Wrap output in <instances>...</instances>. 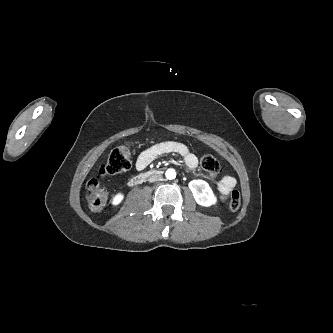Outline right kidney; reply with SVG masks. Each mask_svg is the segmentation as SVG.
<instances>
[{"mask_svg":"<svg viewBox=\"0 0 333 333\" xmlns=\"http://www.w3.org/2000/svg\"><path fill=\"white\" fill-rule=\"evenodd\" d=\"M123 194L118 193L114 196L113 200H112V204L113 205H118L122 200H123Z\"/></svg>","mask_w":333,"mask_h":333,"instance_id":"right-kidney-1","label":"right kidney"}]
</instances>
